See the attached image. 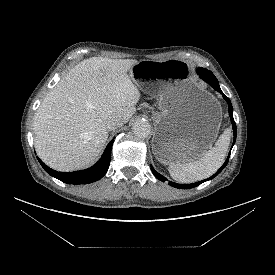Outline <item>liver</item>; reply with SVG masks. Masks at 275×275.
I'll return each mask as SVG.
<instances>
[{"label":"liver","instance_id":"6515ba94","mask_svg":"<svg viewBox=\"0 0 275 275\" xmlns=\"http://www.w3.org/2000/svg\"><path fill=\"white\" fill-rule=\"evenodd\" d=\"M133 59L93 57L72 68L43 99L33 124L35 149L58 171L91 165L109 136L106 122L124 123L136 111L141 94L128 71Z\"/></svg>","mask_w":275,"mask_h":275}]
</instances>
